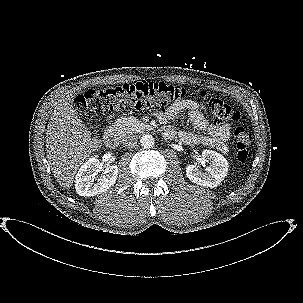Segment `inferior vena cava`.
I'll list each match as a JSON object with an SVG mask.
<instances>
[{
    "label": "inferior vena cava",
    "mask_w": 303,
    "mask_h": 303,
    "mask_svg": "<svg viewBox=\"0 0 303 303\" xmlns=\"http://www.w3.org/2000/svg\"><path fill=\"white\" fill-rule=\"evenodd\" d=\"M123 145L127 148H132L137 144V137L133 134H128L123 138Z\"/></svg>",
    "instance_id": "inferior-vena-cava-1"
}]
</instances>
